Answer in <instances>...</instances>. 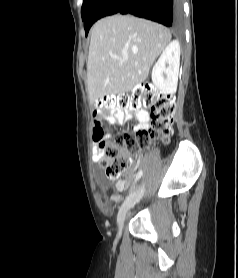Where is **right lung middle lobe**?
<instances>
[{
	"mask_svg": "<svg viewBox=\"0 0 238 278\" xmlns=\"http://www.w3.org/2000/svg\"><path fill=\"white\" fill-rule=\"evenodd\" d=\"M98 0H84V3L81 8L82 20L85 19L88 10L97 2ZM85 27V23H84Z\"/></svg>",
	"mask_w": 238,
	"mask_h": 278,
	"instance_id": "obj_1",
	"label": "right lung middle lobe"
}]
</instances>
